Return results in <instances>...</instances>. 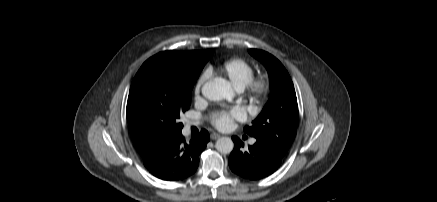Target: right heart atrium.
Wrapping results in <instances>:
<instances>
[{
  "mask_svg": "<svg viewBox=\"0 0 437 202\" xmlns=\"http://www.w3.org/2000/svg\"><path fill=\"white\" fill-rule=\"evenodd\" d=\"M207 77H208L207 73H204L200 76V78L197 81L196 87H195L196 93H199V91H200L202 85L204 84V82L206 81Z\"/></svg>",
  "mask_w": 437,
  "mask_h": 202,
  "instance_id": "1",
  "label": "right heart atrium"
}]
</instances>
